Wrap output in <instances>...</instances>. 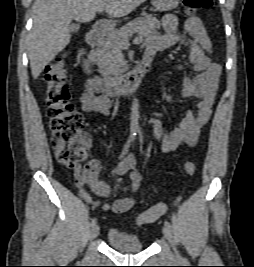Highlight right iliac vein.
<instances>
[{
    "instance_id": "63e3f726",
    "label": "right iliac vein",
    "mask_w": 254,
    "mask_h": 267,
    "mask_svg": "<svg viewBox=\"0 0 254 267\" xmlns=\"http://www.w3.org/2000/svg\"><path fill=\"white\" fill-rule=\"evenodd\" d=\"M100 228L97 224L92 226L91 231H90V239H94L99 235Z\"/></svg>"
}]
</instances>
